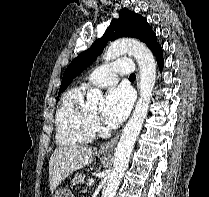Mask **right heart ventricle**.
Listing matches in <instances>:
<instances>
[{"instance_id": "1", "label": "right heart ventricle", "mask_w": 209, "mask_h": 197, "mask_svg": "<svg viewBox=\"0 0 209 197\" xmlns=\"http://www.w3.org/2000/svg\"><path fill=\"white\" fill-rule=\"evenodd\" d=\"M84 92V86L68 90L57 110L56 141L60 145L75 146L94 139L93 118L84 106Z\"/></svg>"}]
</instances>
